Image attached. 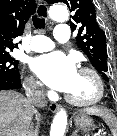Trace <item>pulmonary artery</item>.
I'll return each instance as SVG.
<instances>
[{"label": "pulmonary artery", "instance_id": "pulmonary-artery-1", "mask_svg": "<svg viewBox=\"0 0 117 136\" xmlns=\"http://www.w3.org/2000/svg\"><path fill=\"white\" fill-rule=\"evenodd\" d=\"M53 35L57 42L64 43L69 40V29L66 25L59 24L56 26ZM54 45V41L47 36H35L31 41L30 48L35 52H44L51 50Z\"/></svg>", "mask_w": 117, "mask_h": 136}]
</instances>
